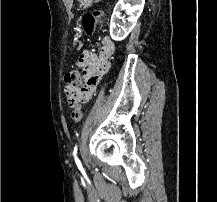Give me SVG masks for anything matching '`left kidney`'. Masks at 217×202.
<instances>
[{
  "mask_svg": "<svg viewBox=\"0 0 217 202\" xmlns=\"http://www.w3.org/2000/svg\"><path fill=\"white\" fill-rule=\"evenodd\" d=\"M133 4V6H132ZM145 0H119L116 4L110 22V36L115 42L125 40L128 34L132 32L136 26V22L142 14ZM121 12H126L128 18L121 16ZM123 20V22H119Z\"/></svg>",
  "mask_w": 217,
  "mask_h": 202,
  "instance_id": "obj_1",
  "label": "left kidney"
}]
</instances>
